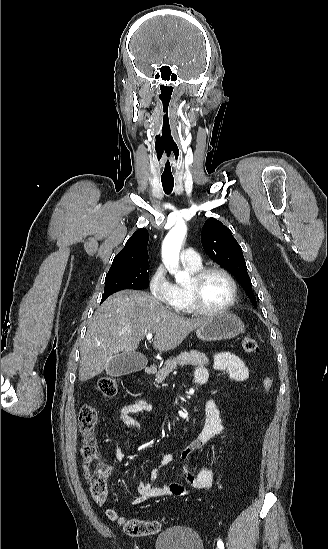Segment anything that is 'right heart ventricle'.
Returning a JSON list of instances; mask_svg holds the SVG:
<instances>
[{
  "mask_svg": "<svg viewBox=\"0 0 328 549\" xmlns=\"http://www.w3.org/2000/svg\"><path fill=\"white\" fill-rule=\"evenodd\" d=\"M183 265L187 271L193 272L203 265V260L201 257L197 262L183 260ZM164 303H174V310H180V319H193V312L188 308L190 301L186 293V285L173 283L171 292Z\"/></svg>",
  "mask_w": 328,
  "mask_h": 549,
  "instance_id": "e07e8e85",
  "label": "right heart ventricle"
}]
</instances>
